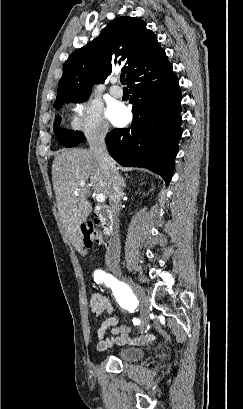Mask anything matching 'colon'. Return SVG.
I'll use <instances>...</instances> for the list:
<instances>
[{
  "label": "colon",
  "mask_w": 243,
  "mask_h": 409,
  "mask_svg": "<svg viewBox=\"0 0 243 409\" xmlns=\"http://www.w3.org/2000/svg\"><path fill=\"white\" fill-rule=\"evenodd\" d=\"M82 233L84 237V243L87 247L101 242V237L92 224L83 225Z\"/></svg>",
  "instance_id": "obj_1"
}]
</instances>
